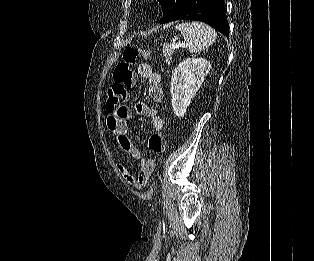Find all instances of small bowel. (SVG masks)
<instances>
[{
  "mask_svg": "<svg viewBox=\"0 0 314 261\" xmlns=\"http://www.w3.org/2000/svg\"><path fill=\"white\" fill-rule=\"evenodd\" d=\"M137 73L140 78L148 81V94L150 99L155 103L162 102L164 93L161 75L158 72H155L147 63L140 64L137 68ZM136 110L138 113L150 118L152 129L155 132L163 130L164 120L157 115L156 110L153 107L143 102H139L136 104ZM131 116V111L127 105L123 104L116 106L115 108L110 109V114L107 117V127L116 138L119 148L140 161V172L138 174L132 173L123 164H117V170L127 183L135 189L141 190L147 185L154 174L156 161L153 158L144 157L140 149L130 138L128 121Z\"/></svg>",
  "mask_w": 314,
  "mask_h": 261,
  "instance_id": "1",
  "label": "small bowel"
}]
</instances>
